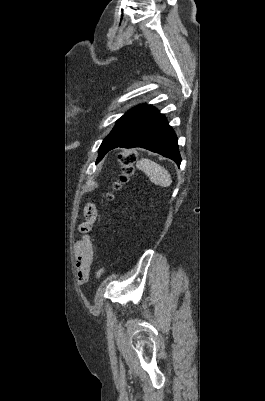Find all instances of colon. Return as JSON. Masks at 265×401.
I'll list each match as a JSON object with an SVG mask.
<instances>
[{"label":"colon","instance_id":"5ec220e1","mask_svg":"<svg viewBox=\"0 0 265 401\" xmlns=\"http://www.w3.org/2000/svg\"><path fill=\"white\" fill-rule=\"evenodd\" d=\"M120 161V174L112 185V189L107 193L106 197L108 200H112L114 193L122 189L130 180V177L135 171V165L137 161V154L135 152H129L127 154L121 155ZM103 275V269L99 268L96 270V276L101 278Z\"/></svg>","mask_w":265,"mask_h":401}]
</instances>
